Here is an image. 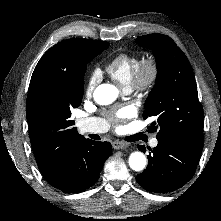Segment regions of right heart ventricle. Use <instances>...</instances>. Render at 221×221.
Here are the masks:
<instances>
[{
  "instance_id": "obj_1",
  "label": "right heart ventricle",
  "mask_w": 221,
  "mask_h": 221,
  "mask_svg": "<svg viewBox=\"0 0 221 221\" xmlns=\"http://www.w3.org/2000/svg\"><path fill=\"white\" fill-rule=\"evenodd\" d=\"M141 62L139 55L134 53L122 52L115 55L106 64V72L109 76L122 85L124 88H130L131 80L137 71Z\"/></svg>"
}]
</instances>
